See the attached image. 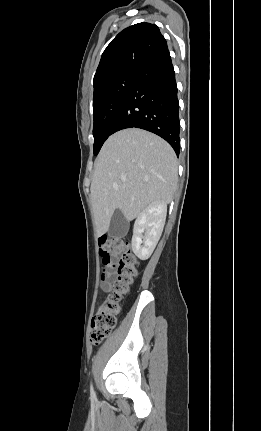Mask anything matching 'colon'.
<instances>
[{
	"instance_id": "obj_1",
	"label": "colon",
	"mask_w": 261,
	"mask_h": 431,
	"mask_svg": "<svg viewBox=\"0 0 261 431\" xmlns=\"http://www.w3.org/2000/svg\"><path fill=\"white\" fill-rule=\"evenodd\" d=\"M99 247L103 265L112 266L116 276L107 297L92 319L90 340L93 344L101 343L115 327L123 298L138 272V260L132 253L128 241L102 236L99 239Z\"/></svg>"
}]
</instances>
